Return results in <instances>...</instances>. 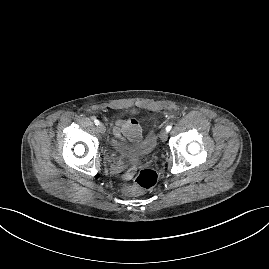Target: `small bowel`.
Returning <instances> with one entry per match:
<instances>
[{"label": "small bowel", "instance_id": "1", "mask_svg": "<svg viewBox=\"0 0 269 269\" xmlns=\"http://www.w3.org/2000/svg\"><path fill=\"white\" fill-rule=\"evenodd\" d=\"M113 133L118 138L138 141L141 137V127L135 118L116 121Z\"/></svg>", "mask_w": 269, "mask_h": 269}]
</instances>
